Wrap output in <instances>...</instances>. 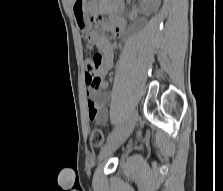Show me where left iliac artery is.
<instances>
[{
  "label": "left iliac artery",
  "mask_w": 223,
  "mask_h": 191,
  "mask_svg": "<svg viewBox=\"0 0 223 191\" xmlns=\"http://www.w3.org/2000/svg\"><path fill=\"white\" fill-rule=\"evenodd\" d=\"M121 127H122V124L117 125V126L112 130V132L108 135V137H107V141H110L112 138H114V137L117 135V133L119 132V130L121 129Z\"/></svg>",
  "instance_id": "1"
}]
</instances>
